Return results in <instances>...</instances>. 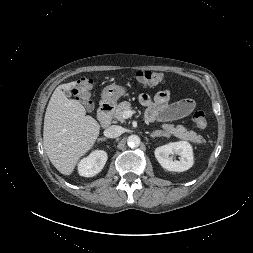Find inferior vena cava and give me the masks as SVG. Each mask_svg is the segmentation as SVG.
I'll return each instance as SVG.
<instances>
[{"label": "inferior vena cava", "mask_w": 253, "mask_h": 253, "mask_svg": "<svg viewBox=\"0 0 253 253\" xmlns=\"http://www.w3.org/2000/svg\"><path fill=\"white\" fill-rule=\"evenodd\" d=\"M123 133V128L118 125H111L104 130V135L108 138H116Z\"/></svg>", "instance_id": "obj_1"}]
</instances>
